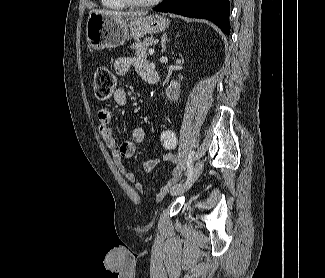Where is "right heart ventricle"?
Instances as JSON below:
<instances>
[{
    "mask_svg": "<svg viewBox=\"0 0 325 278\" xmlns=\"http://www.w3.org/2000/svg\"><path fill=\"white\" fill-rule=\"evenodd\" d=\"M103 7L110 10L126 9L128 5L122 0H100Z\"/></svg>",
    "mask_w": 325,
    "mask_h": 278,
    "instance_id": "1",
    "label": "right heart ventricle"
}]
</instances>
